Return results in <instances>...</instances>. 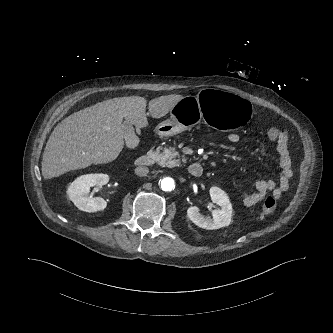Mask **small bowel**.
Segmentation results:
<instances>
[{
	"label": "small bowel",
	"mask_w": 333,
	"mask_h": 333,
	"mask_svg": "<svg viewBox=\"0 0 333 333\" xmlns=\"http://www.w3.org/2000/svg\"><path fill=\"white\" fill-rule=\"evenodd\" d=\"M276 129V128H271ZM228 141L231 144H237L240 141V136L237 133H230ZM276 142V150L279 155V165L281 169L280 179L276 183L272 178L265 180H256L254 182L253 191H244L242 193L243 203L250 207L263 201V199L271 194L275 198H280L282 193L290 187V180L293 176L292 171V147L289 135L285 130H278V136L274 140Z\"/></svg>",
	"instance_id": "small-bowel-1"
}]
</instances>
